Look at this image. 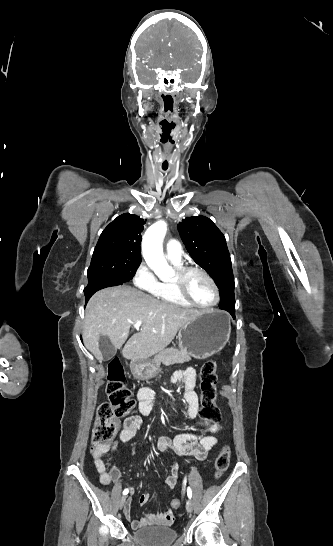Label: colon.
<instances>
[{
  "label": "colon",
  "mask_w": 333,
  "mask_h": 546,
  "mask_svg": "<svg viewBox=\"0 0 333 546\" xmlns=\"http://www.w3.org/2000/svg\"><path fill=\"white\" fill-rule=\"evenodd\" d=\"M218 367L215 361H206L200 370L201 409L200 426L210 431L213 424L220 420V410L215 403ZM106 394L108 401L97 409L96 423L92 434L94 446L110 444L119 432L121 419L133 413L135 402L132 392L126 385V377L119 359L108 363ZM230 448L225 446L217 455L214 463V476L219 479L228 469ZM174 509L181 506L178 499L171 502Z\"/></svg>",
  "instance_id": "5ec220e1"
}]
</instances>
